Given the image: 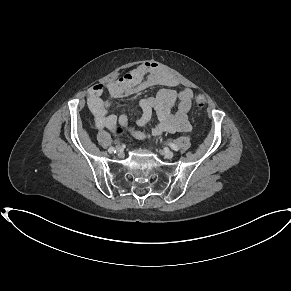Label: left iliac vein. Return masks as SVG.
<instances>
[{"instance_id":"1","label":"left iliac vein","mask_w":291,"mask_h":291,"mask_svg":"<svg viewBox=\"0 0 291 291\" xmlns=\"http://www.w3.org/2000/svg\"><path fill=\"white\" fill-rule=\"evenodd\" d=\"M162 153H163V155H164L166 158H168V159H171V158H173V156H174V153H173L172 151L168 150V149H164V150L162 151Z\"/></svg>"}]
</instances>
